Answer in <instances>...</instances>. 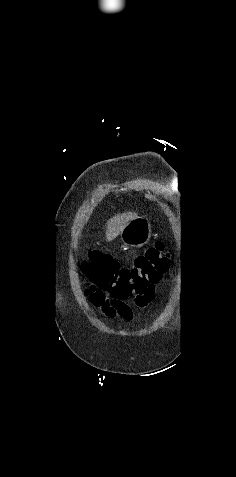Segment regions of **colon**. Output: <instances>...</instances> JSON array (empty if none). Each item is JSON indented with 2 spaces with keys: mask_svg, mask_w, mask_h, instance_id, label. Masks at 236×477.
Listing matches in <instances>:
<instances>
[{
  "mask_svg": "<svg viewBox=\"0 0 236 477\" xmlns=\"http://www.w3.org/2000/svg\"><path fill=\"white\" fill-rule=\"evenodd\" d=\"M168 268L169 258L162 243L148 249L131 267L122 266L115 258L99 252H92L81 264L82 272L91 282L88 292L93 303L98 307L111 303L121 313L130 310L127 300L141 304Z\"/></svg>",
  "mask_w": 236,
  "mask_h": 477,
  "instance_id": "obj_1",
  "label": "colon"
}]
</instances>
